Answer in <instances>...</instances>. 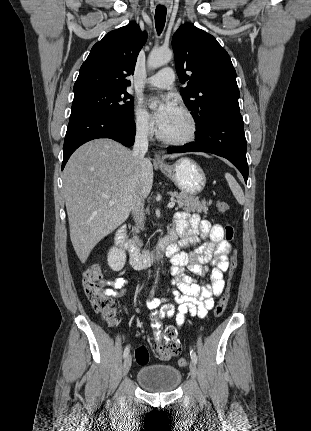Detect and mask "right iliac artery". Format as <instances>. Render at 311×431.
Returning a JSON list of instances; mask_svg holds the SVG:
<instances>
[{
	"mask_svg": "<svg viewBox=\"0 0 311 431\" xmlns=\"http://www.w3.org/2000/svg\"><path fill=\"white\" fill-rule=\"evenodd\" d=\"M153 292H154V290H152V292H151L152 295H153ZM129 351H130V346L128 345V346H126V348L124 350L123 356L126 357L129 354Z\"/></svg>",
	"mask_w": 311,
	"mask_h": 431,
	"instance_id": "obj_1",
	"label": "right iliac artery"
}]
</instances>
